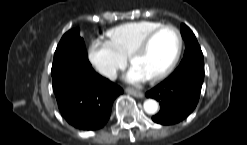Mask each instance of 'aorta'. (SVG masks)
Masks as SVG:
<instances>
[{"instance_id":"1","label":"aorta","mask_w":247,"mask_h":145,"mask_svg":"<svg viewBox=\"0 0 247 145\" xmlns=\"http://www.w3.org/2000/svg\"><path fill=\"white\" fill-rule=\"evenodd\" d=\"M143 107H144V111L147 114H155L158 111L159 105L157 101L153 99H147L146 101H144Z\"/></svg>"}]
</instances>
